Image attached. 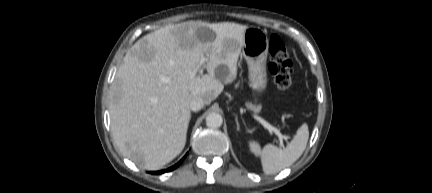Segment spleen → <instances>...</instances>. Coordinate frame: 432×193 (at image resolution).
I'll list each match as a JSON object with an SVG mask.
<instances>
[{
    "mask_svg": "<svg viewBox=\"0 0 432 193\" xmlns=\"http://www.w3.org/2000/svg\"><path fill=\"white\" fill-rule=\"evenodd\" d=\"M309 139L307 124H303L293 138L283 149L273 144H267L261 149L259 143L249 142L251 152L261 157L262 168L265 174L272 175L291 166L303 154Z\"/></svg>",
    "mask_w": 432,
    "mask_h": 193,
    "instance_id": "spleen-1",
    "label": "spleen"
}]
</instances>
